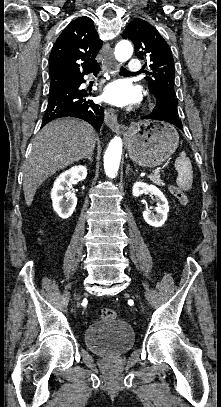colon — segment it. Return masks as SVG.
<instances>
[{"label": "colon", "mask_w": 221, "mask_h": 407, "mask_svg": "<svg viewBox=\"0 0 221 407\" xmlns=\"http://www.w3.org/2000/svg\"><path fill=\"white\" fill-rule=\"evenodd\" d=\"M169 190L182 204H186L188 202L186 194L178 187L172 185L169 187ZM98 314L102 320H113L116 316L115 311L109 308L100 309Z\"/></svg>", "instance_id": "1"}]
</instances>
